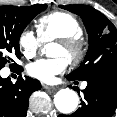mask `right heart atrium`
<instances>
[{
  "instance_id": "d8ad5b80",
  "label": "right heart atrium",
  "mask_w": 117,
  "mask_h": 117,
  "mask_svg": "<svg viewBox=\"0 0 117 117\" xmlns=\"http://www.w3.org/2000/svg\"><path fill=\"white\" fill-rule=\"evenodd\" d=\"M18 45L25 57L34 56L42 45V41L30 30H24L18 37Z\"/></svg>"
}]
</instances>
